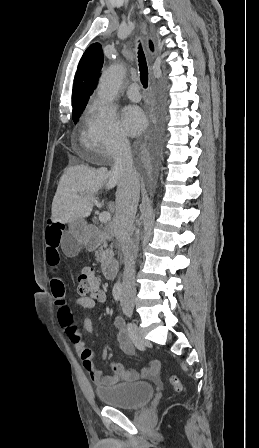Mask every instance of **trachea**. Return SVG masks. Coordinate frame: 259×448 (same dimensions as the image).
Instances as JSON below:
<instances>
[{"instance_id": "1", "label": "trachea", "mask_w": 259, "mask_h": 448, "mask_svg": "<svg viewBox=\"0 0 259 448\" xmlns=\"http://www.w3.org/2000/svg\"><path fill=\"white\" fill-rule=\"evenodd\" d=\"M138 61H139V71H140V80L144 88L148 86V67L146 63L145 54L142 50L141 45H139L138 51Z\"/></svg>"}]
</instances>
